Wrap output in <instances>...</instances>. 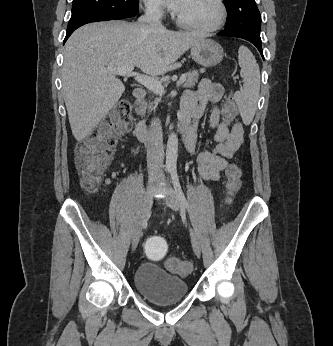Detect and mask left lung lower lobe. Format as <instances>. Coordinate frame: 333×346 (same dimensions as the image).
Segmentation results:
<instances>
[{
    "label": "left lung lower lobe",
    "instance_id": "left-lung-lower-lobe-1",
    "mask_svg": "<svg viewBox=\"0 0 333 346\" xmlns=\"http://www.w3.org/2000/svg\"><path fill=\"white\" fill-rule=\"evenodd\" d=\"M218 35L238 37V38H242V39H245V40L251 42L252 44H254L257 47V49L259 50L260 54L262 55V57L264 59L261 40L256 39L254 37H250L247 34H244L242 32L235 31V30H229V29H224L223 31L219 32Z\"/></svg>",
    "mask_w": 333,
    "mask_h": 346
}]
</instances>
